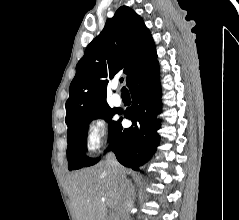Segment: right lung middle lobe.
Instances as JSON below:
<instances>
[{
  "instance_id": "dd1d6c3e",
  "label": "right lung middle lobe",
  "mask_w": 239,
  "mask_h": 220,
  "mask_svg": "<svg viewBox=\"0 0 239 220\" xmlns=\"http://www.w3.org/2000/svg\"><path fill=\"white\" fill-rule=\"evenodd\" d=\"M114 114L115 111L107 105L81 116L68 127L67 158L70 171L94 165L100 160V158H89L85 154V150H87L88 125L93 119H105V121L109 122V138H111L117 124V122L111 121Z\"/></svg>"
}]
</instances>
